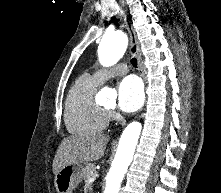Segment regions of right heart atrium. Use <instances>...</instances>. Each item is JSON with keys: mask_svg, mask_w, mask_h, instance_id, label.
Segmentation results:
<instances>
[{"mask_svg": "<svg viewBox=\"0 0 221 193\" xmlns=\"http://www.w3.org/2000/svg\"><path fill=\"white\" fill-rule=\"evenodd\" d=\"M109 116H110V117H113V116H114L113 112H110V113H109Z\"/></svg>", "mask_w": 221, "mask_h": 193, "instance_id": "d8ad5b80", "label": "right heart atrium"}]
</instances>
